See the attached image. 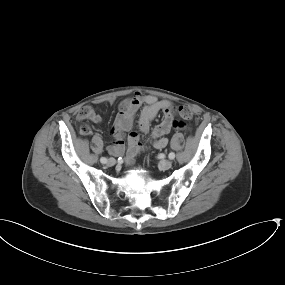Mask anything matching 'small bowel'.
I'll use <instances>...</instances> for the list:
<instances>
[{
    "label": "small bowel",
    "instance_id": "small-bowel-1",
    "mask_svg": "<svg viewBox=\"0 0 285 285\" xmlns=\"http://www.w3.org/2000/svg\"><path fill=\"white\" fill-rule=\"evenodd\" d=\"M141 112L138 118L139 130L147 134L150 132L153 146L162 149L167 146L168 139L165 137L172 129H183L185 126L175 121L172 117L174 104L171 100H158L154 95H144L135 93L131 97L123 99L119 104L118 113L115 116L111 131L115 142L108 147L110 153L121 154L125 147L123 139L127 134L126 163L132 164L135 157L143 149L139 142V136L132 131L135 114L139 108ZM162 112V120L150 131V124L156 115ZM78 122L90 121L95 124L102 123V117L92 106L82 107L76 114ZM80 132L83 135L91 134V127L88 124H82Z\"/></svg>",
    "mask_w": 285,
    "mask_h": 285
}]
</instances>
